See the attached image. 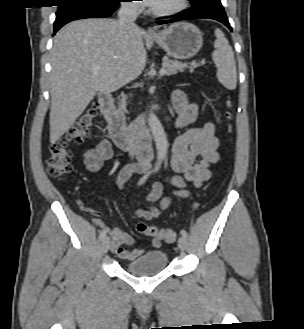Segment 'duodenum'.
I'll use <instances>...</instances> for the list:
<instances>
[{
	"label": "duodenum",
	"instance_id": "410a0bca",
	"mask_svg": "<svg viewBox=\"0 0 304 329\" xmlns=\"http://www.w3.org/2000/svg\"><path fill=\"white\" fill-rule=\"evenodd\" d=\"M98 100L108 123L109 135L118 148L130 150L147 141L149 134L142 119H139L133 127H129L115 108L114 99L109 93H101Z\"/></svg>",
	"mask_w": 304,
	"mask_h": 329
}]
</instances>
